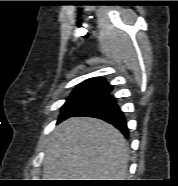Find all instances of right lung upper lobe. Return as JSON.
<instances>
[{"mask_svg":"<svg viewBox=\"0 0 178 186\" xmlns=\"http://www.w3.org/2000/svg\"><path fill=\"white\" fill-rule=\"evenodd\" d=\"M88 85H107V82L102 77H95V78H90L85 80L79 86H88Z\"/></svg>","mask_w":178,"mask_h":186,"instance_id":"cb5924a9","label":"right lung upper lobe"}]
</instances>
